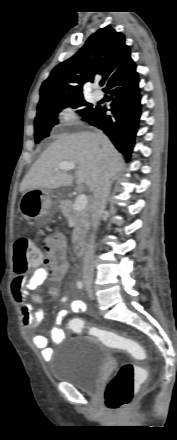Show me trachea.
I'll return each mask as SVG.
<instances>
[{
  "label": "trachea",
  "mask_w": 177,
  "mask_h": 440,
  "mask_svg": "<svg viewBox=\"0 0 177 440\" xmlns=\"http://www.w3.org/2000/svg\"><path fill=\"white\" fill-rule=\"evenodd\" d=\"M100 85H101V86H103V85H104V82H103V81H102V82H100Z\"/></svg>",
  "instance_id": "trachea-1"
}]
</instances>
